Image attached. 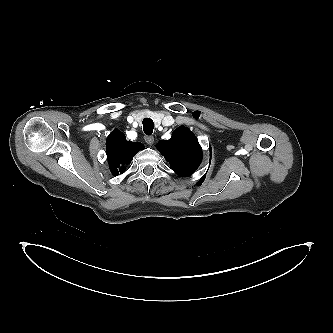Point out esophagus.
<instances>
[{"label": "esophagus", "mask_w": 333, "mask_h": 333, "mask_svg": "<svg viewBox=\"0 0 333 333\" xmlns=\"http://www.w3.org/2000/svg\"><path fill=\"white\" fill-rule=\"evenodd\" d=\"M144 140L148 145H152L154 143V137L153 136H145Z\"/></svg>", "instance_id": "1"}]
</instances>
